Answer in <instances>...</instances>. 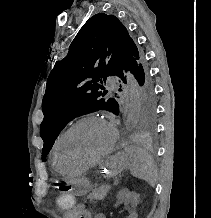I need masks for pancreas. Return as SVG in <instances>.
Segmentation results:
<instances>
[{
  "mask_svg": "<svg viewBox=\"0 0 211 218\" xmlns=\"http://www.w3.org/2000/svg\"><path fill=\"white\" fill-rule=\"evenodd\" d=\"M109 190L108 186H99V188H95L92 194H89V200H103L104 196H106Z\"/></svg>",
  "mask_w": 211,
  "mask_h": 218,
  "instance_id": "cf45deb5",
  "label": "pancreas"
}]
</instances>
